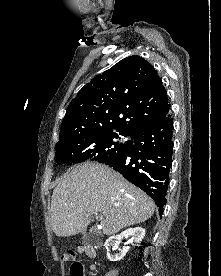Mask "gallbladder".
Returning <instances> with one entry per match:
<instances>
[{"label": "gallbladder", "instance_id": "bac80fb5", "mask_svg": "<svg viewBox=\"0 0 221 276\" xmlns=\"http://www.w3.org/2000/svg\"><path fill=\"white\" fill-rule=\"evenodd\" d=\"M95 233L86 234L82 240L84 243H92L94 241Z\"/></svg>", "mask_w": 221, "mask_h": 276}]
</instances>
